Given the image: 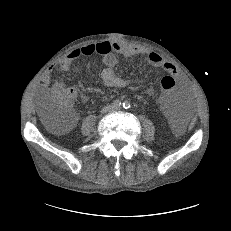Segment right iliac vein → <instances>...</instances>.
<instances>
[{"instance_id": "1", "label": "right iliac vein", "mask_w": 231, "mask_h": 231, "mask_svg": "<svg viewBox=\"0 0 231 231\" xmlns=\"http://www.w3.org/2000/svg\"><path fill=\"white\" fill-rule=\"evenodd\" d=\"M113 107L112 106H106L102 109V113H107L109 111H112Z\"/></svg>"}]
</instances>
